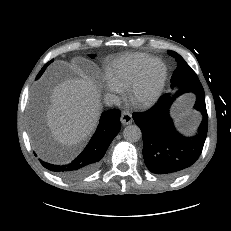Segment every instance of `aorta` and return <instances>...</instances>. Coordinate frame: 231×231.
Returning <instances> with one entry per match:
<instances>
[{"label": "aorta", "instance_id": "obj_1", "mask_svg": "<svg viewBox=\"0 0 231 231\" xmlns=\"http://www.w3.org/2000/svg\"><path fill=\"white\" fill-rule=\"evenodd\" d=\"M142 136L141 130L137 125H128L123 131V137L128 142H137Z\"/></svg>", "mask_w": 231, "mask_h": 231}]
</instances>
